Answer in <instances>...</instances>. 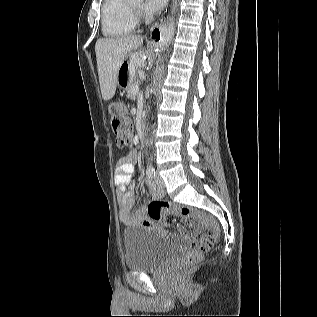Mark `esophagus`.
I'll use <instances>...</instances> for the list:
<instances>
[{
    "mask_svg": "<svg viewBox=\"0 0 317 317\" xmlns=\"http://www.w3.org/2000/svg\"><path fill=\"white\" fill-rule=\"evenodd\" d=\"M164 22H160L152 27L151 29V39L154 41V44H158L164 39Z\"/></svg>",
    "mask_w": 317,
    "mask_h": 317,
    "instance_id": "1",
    "label": "esophagus"
}]
</instances>
